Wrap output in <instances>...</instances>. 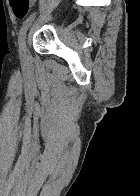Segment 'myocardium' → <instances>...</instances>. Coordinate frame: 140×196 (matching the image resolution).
Instances as JSON below:
<instances>
[{
  "mask_svg": "<svg viewBox=\"0 0 140 196\" xmlns=\"http://www.w3.org/2000/svg\"><path fill=\"white\" fill-rule=\"evenodd\" d=\"M46 192H63V191H46Z\"/></svg>",
  "mask_w": 140,
  "mask_h": 196,
  "instance_id": "f54148a6",
  "label": "myocardium"
}]
</instances>
